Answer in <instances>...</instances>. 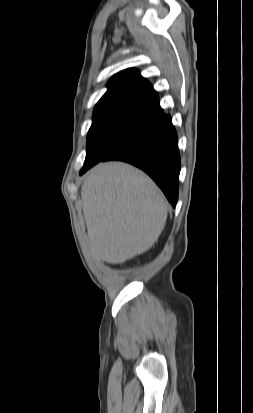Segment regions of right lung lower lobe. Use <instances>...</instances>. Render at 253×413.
<instances>
[{"label": "right lung lower lobe", "instance_id": "obj_1", "mask_svg": "<svg viewBox=\"0 0 253 413\" xmlns=\"http://www.w3.org/2000/svg\"><path fill=\"white\" fill-rule=\"evenodd\" d=\"M108 160L128 162L145 171L175 207L178 199L180 154L177 133L170 115L164 117L153 129L121 146L101 161ZM87 170L80 171V175Z\"/></svg>", "mask_w": 253, "mask_h": 413}]
</instances>
